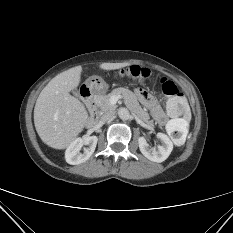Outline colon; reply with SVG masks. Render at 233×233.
Here are the masks:
<instances>
[{"label": "colon", "instance_id": "5ec220e1", "mask_svg": "<svg viewBox=\"0 0 233 233\" xmlns=\"http://www.w3.org/2000/svg\"><path fill=\"white\" fill-rule=\"evenodd\" d=\"M123 76L132 79H146L150 76L149 70L139 66H131L121 70ZM162 93L167 97V111L171 116L167 130L170 137L177 144H182L187 136L189 107L184 95L177 86L166 78L161 79Z\"/></svg>", "mask_w": 233, "mask_h": 233}]
</instances>
